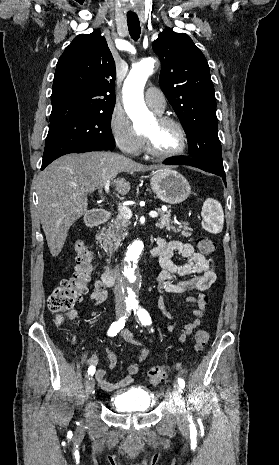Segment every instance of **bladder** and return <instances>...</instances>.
<instances>
[{"mask_svg": "<svg viewBox=\"0 0 279 465\" xmlns=\"http://www.w3.org/2000/svg\"><path fill=\"white\" fill-rule=\"evenodd\" d=\"M110 404L119 412L145 413L151 410L154 400L145 388L132 386L113 395Z\"/></svg>", "mask_w": 279, "mask_h": 465, "instance_id": "obj_1", "label": "bladder"}]
</instances>
